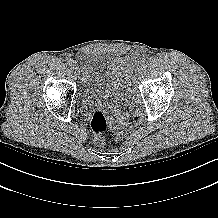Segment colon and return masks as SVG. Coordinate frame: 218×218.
Wrapping results in <instances>:
<instances>
[{
	"mask_svg": "<svg viewBox=\"0 0 218 218\" xmlns=\"http://www.w3.org/2000/svg\"><path fill=\"white\" fill-rule=\"evenodd\" d=\"M91 128L95 142L98 145L105 144L109 138V124L107 115L104 111H94L91 117Z\"/></svg>",
	"mask_w": 218,
	"mask_h": 218,
	"instance_id": "1",
	"label": "colon"
}]
</instances>
